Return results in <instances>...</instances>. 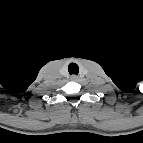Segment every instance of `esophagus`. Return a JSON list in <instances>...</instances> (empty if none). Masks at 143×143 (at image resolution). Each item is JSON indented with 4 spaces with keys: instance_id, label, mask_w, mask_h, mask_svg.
Wrapping results in <instances>:
<instances>
[{
    "instance_id": "esophagus-1",
    "label": "esophagus",
    "mask_w": 143,
    "mask_h": 143,
    "mask_svg": "<svg viewBox=\"0 0 143 143\" xmlns=\"http://www.w3.org/2000/svg\"><path fill=\"white\" fill-rule=\"evenodd\" d=\"M70 79L73 80V81H77L79 79V77L77 75H72L70 77Z\"/></svg>"
}]
</instances>
